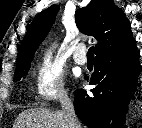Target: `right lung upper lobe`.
Segmentation results:
<instances>
[{
  "mask_svg": "<svg viewBox=\"0 0 142 128\" xmlns=\"http://www.w3.org/2000/svg\"><path fill=\"white\" fill-rule=\"evenodd\" d=\"M58 10V5H52L35 17L22 41L16 64L33 58ZM75 20L81 32L97 39L96 57L113 53L134 41L128 19L112 0H91L86 7L76 11Z\"/></svg>",
  "mask_w": 142,
  "mask_h": 128,
  "instance_id": "right-lung-upper-lobe-1",
  "label": "right lung upper lobe"
}]
</instances>
